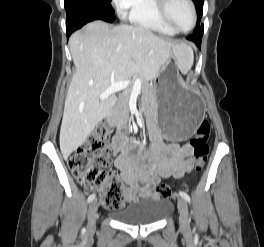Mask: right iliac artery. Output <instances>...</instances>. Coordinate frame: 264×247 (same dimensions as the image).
<instances>
[{
	"instance_id": "1",
	"label": "right iliac artery",
	"mask_w": 264,
	"mask_h": 247,
	"mask_svg": "<svg viewBox=\"0 0 264 247\" xmlns=\"http://www.w3.org/2000/svg\"><path fill=\"white\" fill-rule=\"evenodd\" d=\"M95 199V194H91L89 197H88V203L89 202H92L93 200Z\"/></svg>"
}]
</instances>
